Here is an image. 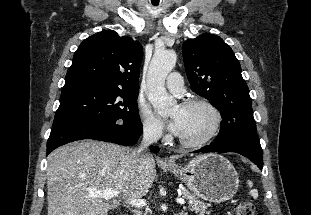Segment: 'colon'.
Instances as JSON below:
<instances>
[{
  "instance_id": "colon-1",
  "label": "colon",
  "mask_w": 311,
  "mask_h": 215,
  "mask_svg": "<svg viewBox=\"0 0 311 215\" xmlns=\"http://www.w3.org/2000/svg\"><path fill=\"white\" fill-rule=\"evenodd\" d=\"M236 215H263L262 213H257L255 207L250 201H240L235 205Z\"/></svg>"
}]
</instances>
